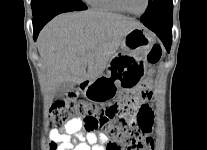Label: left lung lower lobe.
Listing matches in <instances>:
<instances>
[{
    "instance_id": "1",
    "label": "left lung lower lobe",
    "mask_w": 207,
    "mask_h": 150,
    "mask_svg": "<svg viewBox=\"0 0 207 150\" xmlns=\"http://www.w3.org/2000/svg\"><path fill=\"white\" fill-rule=\"evenodd\" d=\"M143 24L156 33L169 52L172 43V17L158 21L143 22Z\"/></svg>"
}]
</instances>
